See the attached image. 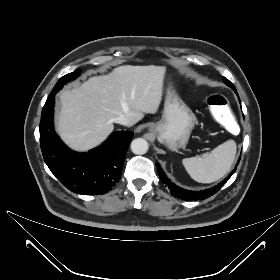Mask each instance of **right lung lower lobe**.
<instances>
[{
  "mask_svg": "<svg viewBox=\"0 0 280 280\" xmlns=\"http://www.w3.org/2000/svg\"><path fill=\"white\" fill-rule=\"evenodd\" d=\"M51 93L41 114L40 145L43 158L56 178L70 191L83 195L109 192L119 181L133 132H116L88 153L71 151L53 127L54 96Z\"/></svg>",
  "mask_w": 280,
  "mask_h": 280,
  "instance_id": "obj_1",
  "label": "right lung lower lobe"
}]
</instances>
